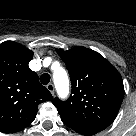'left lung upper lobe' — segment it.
<instances>
[{
	"mask_svg": "<svg viewBox=\"0 0 136 136\" xmlns=\"http://www.w3.org/2000/svg\"><path fill=\"white\" fill-rule=\"evenodd\" d=\"M70 74L72 95L67 101L57 97L62 121L72 129L88 126H109L115 119L124 97L119 72L102 55L85 48L56 50Z\"/></svg>",
	"mask_w": 136,
	"mask_h": 136,
	"instance_id": "left-lung-upper-lobe-1",
	"label": "left lung upper lobe"
}]
</instances>
